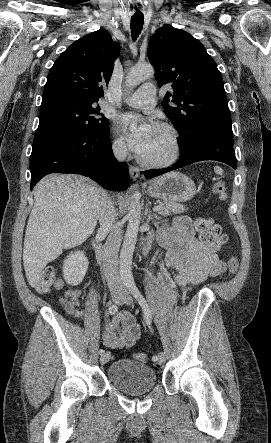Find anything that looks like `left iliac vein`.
Instances as JSON below:
<instances>
[{
  "label": "left iliac vein",
  "instance_id": "obj_1",
  "mask_svg": "<svg viewBox=\"0 0 271 443\" xmlns=\"http://www.w3.org/2000/svg\"><path fill=\"white\" fill-rule=\"evenodd\" d=\"M123 304L131 305L133 303V299L129 294H124L123 299L121 301ZM165 354L161 351L158 355V364L162 365L165 363Z\"/></svg>",
  "mask_w": 271,
  "mask_h": 443
}]
</instances>
